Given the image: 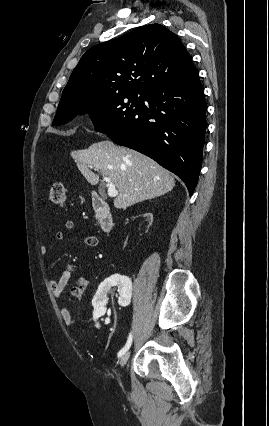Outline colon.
I'll use <instances>...</instances> for the list:
<instances>
[{
    "label": "colon",
    "instance_id": "5ec220e1",
    "mask_svg": "<svg viewBox=\"0 0 269 426\" xmlns=\"http://www.w3.org/2000/svg\"><path fill=\"white\" fill-rule=\"evenodd\" d=\"M48 200L52 205L60 208L65 205V186L62 182H55L52 184L49 191Z\"/></svg>",
    "mask_w": 269,
    "mask_h": 426
}]
</instances>
